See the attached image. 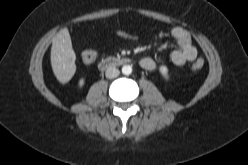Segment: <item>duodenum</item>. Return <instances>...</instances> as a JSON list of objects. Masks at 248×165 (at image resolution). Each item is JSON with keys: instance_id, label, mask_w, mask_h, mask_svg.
I'll use <instances>...</instances> for the list:
<instances>
[{"instance_id": "duodenum-1", "label": "duodenum", "mask_w": 248, "mask_h": 165, "mask_svg": "<svg viewBox=\"0 0 248 165\" xmlns=\"http://www.w3.org/2000/svg\"><path fill=\"white\" fill-rule=\"evenodd\" d=\"M131 62L128 57H110L100 61L98 67L100 70H106L114 66L127 65Z\"/></svg>"}]
</instances>
